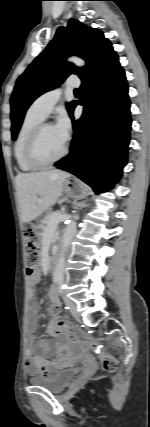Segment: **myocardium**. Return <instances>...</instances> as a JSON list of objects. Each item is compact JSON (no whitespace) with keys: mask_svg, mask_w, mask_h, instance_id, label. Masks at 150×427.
<instances>
[{"mask_svg":"<svg viewBox=\"0 0 150 427\" xmlns=\"http://www.w3.org/2000/svg\"><path fill=\"white\" fill-rule=\"evenodd\" d=\"M50 126H54V125L49 122H41L40 124H38L31 132L26 144V151H25L26 159L28 163L33 167H35L36 169L47 168L54 165L55 163L62 160L68 154V151H69L68 144L66 143L63 151L56 158L50 161H41L38 159L36 155V148H37L39 138L42 132L44 131V129Z\"/></svg>","mask_w":150,"mask_h":427,"instance_id":"myocardium-1","label":"myocardium"}]
</instances>
